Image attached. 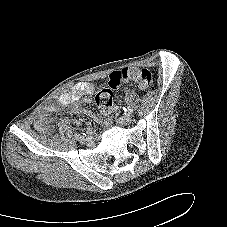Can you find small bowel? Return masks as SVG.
Segmentation results:
<instances>
[{
  "mask_svg": "<svg viewBox=\"0 0 227 227\" xmlns=\"http://www.w3.org/2000/svg\"><path fill=\"white\" fill-rule=\"evenodd\" d=\"M95 91V86L88 82H79L73 86L71 91L60 94L55 103L48 104L44 110L38 115L36 120V128L41 133H46L50 126L49 123L53 120L51 115L58 111V107L69 108L72 113L85 114L94 119L99 124H107V120H103L92 111L84 108L83 103L87 101L86 96L91 95ZM85 97V98H83ZM116 110V106L112 105L108 111L111 113ZM67 123L79 124L75 119H64L59 122V125Z\"/></svg>",
  "mask_w": 227,
  "mask_h": 227,
  "instance_id": "1",
  "label": "small bowel"
}]
</instances>
